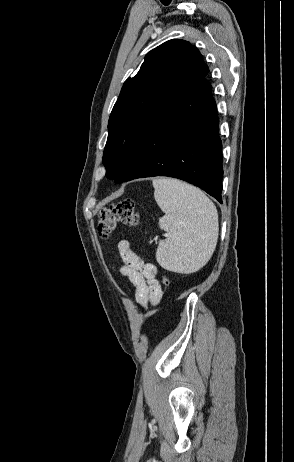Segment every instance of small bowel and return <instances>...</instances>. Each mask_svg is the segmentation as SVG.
Listing matches in <instances>:
<instances>
[{"mask_svg":"<svg viewBox=\"0 0 294 462\" xmlns=\"http://www.w3.org/2000/svg\"><path fill=\"white\" fill-rule=\"evenodd\" d=\"M118 251L123 261L121 274L127 277L133 285L136 301L144 308L156 305L161 298V286L156 266L145 263L131 249L127 240H121L118 243Z\"/></svg>","mask_w":294,"mask_h":462,"instance_id":"obj_1","label":"small bowel"}]
</instances>
